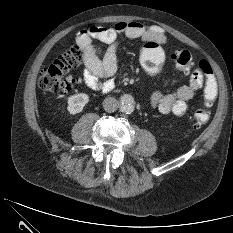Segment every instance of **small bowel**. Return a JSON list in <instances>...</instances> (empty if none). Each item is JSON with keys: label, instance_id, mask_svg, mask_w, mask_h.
<instances>
[{"label": "small bowel", "instance_id": "obj_1", "mask_svg": "<svg viewBox=\"0 0 233 233\" xmlns=\"http://www.w3.org/2000/svg\"><path fill=\"white\" fill-rule=\"evenodd\" d=\"M120 35L142 41L155 40L161 45L166 43V36L159 27L147 28L137 21L117 22L110 27L91 26L80 31L76 41L80 47L85 49L84 82L89 89L103 93L114 89L115 83L112 76L117 71V48ZM93 39L107 44L102 59L98 57L93 48ZM203 86H205V77L201 71L195 69L190 74L187 84L172 91H155L151 96V106L163 114L172 113L175 116L183 117L188 111L187 102Z\"/></svg>", "mask_w": 233, "mask_h": 233}]
</instances>
